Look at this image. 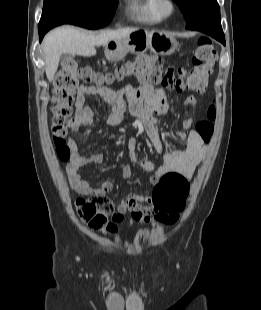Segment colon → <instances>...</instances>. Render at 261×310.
Segmentation results:
<instances>
[{
  "label": "colon",
  "instance_id": "1",
  "mask_svg": "<svg viewBox=\"0 0 261 310\" xmlns=\"http://www.w3.org/2000/svg\"><path fill=\"white\" fill-rule=\"evenodd\" d=\"M215 61V48L206 37L198 40L192 52V66L189 70L165 66L157 56L140 57L125 64L115 75L100 72L89 65L80 66L74 59L63 61L55 76V94L52 98V134L58 157L63 161L70 157L65 136L72 113L73 94L79 80L101 85L116 77L132 75L143 83H159L168 90H189L201 94L207 88ZM207 117V120L196 124V131L205 140H209L214 132V105L208 108ZM189 190V182L182 174H165L151 196L153 205L159 210L155 220L166 225L175 224L186 206ZM76 209L80 219L91 228L106 229L110 233L116 231L118 217L113 213V203L105 195L80 198L76 202Z\"/></svg>",
  "mask_w": 261,
  "mask_h": 310
}]
</instances>
